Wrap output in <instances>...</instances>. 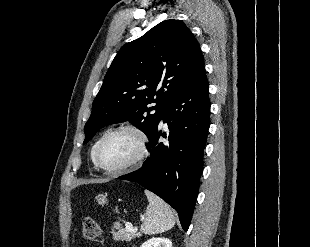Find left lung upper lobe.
Returning <instances> with one entry per match:
<instances>
[{"label": "left lung upper lobe", "instance_id": "5c2ea615", "mask_svg": "<svg viewBox=\"0 0 310 247\" xmlns=\"http://www.w3.org/2000/svg\"><path fill=\"white\" fill-rule=\"evenodd\" d=\"M203 65L199 43L184 23L174 19L126 44L111 63L93 102L84 144L103 126L125 121L150 138L169 102Z\"/></svg>", "mask_w": 310, "mask_h": 247}]
</instances>
